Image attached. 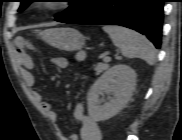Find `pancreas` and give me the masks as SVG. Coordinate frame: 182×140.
I'll list each match as a JSON object with an SVG mask.
<instances>
[{
    "label": "pancreas",
    "mask_w": 182,
    "mask_h": 140,
    "mask_svg": "<svg viewBox=\"0 0 182 140\" xmlns=\"http://www.w3.org/2000/svg\"><path fill=\"white\" fill-rule=\"evenodd\" d=\"M109 68V65L107 63H97L95 65V71L97 74L102 73L103 71L107 70Z\"/></svg>",
    "instance_id": "obj_1"
}]
</instances>
